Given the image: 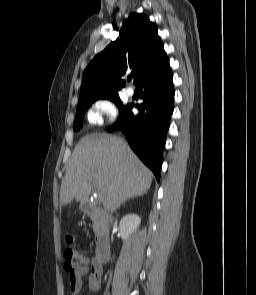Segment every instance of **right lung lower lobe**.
Listing matches in <instances>:
<instances>
[{"mask_svg": "<svg viewBox=\"0 0 256 295\" xmlns=\"http://www.w3.org/2000/svg\"><path fill=\"white\" fill-rule=\"evenodd\" d=\"M136 86L143 99L141 105L135 106L139 113L134 115V105H127L107 131L121 130L133 151L159 180L166 132L174 109L173 75L169 59L144 74Z\"/></svg>", "mask_w": 256, "mask_h": 295, "instance_id": "right-lung-lower-lobe-1", "label": "right lung lower lobe"}]
</instances>
